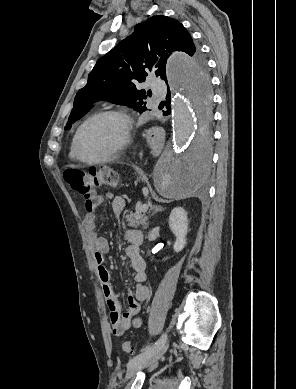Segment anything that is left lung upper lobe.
Listing matches in <instances>:
<instances>
[{"label":"left lung upper lobe","instance_id":"1","mask_svg":"<svg viewBox=\"0 0 296 389\" xmlns=\"http://www.w3.org/2000/svg\"><path fill=\"white\" fill-rule=\"evenodd\" d=\"M175 51L191 57L190 81L207 91L206 62L189 32L177 20L153 16L137 24L129 37L97 61L86 86L76 94L68 122L74 123L84 116L90 105L98 100L129 105L140 113L146 111V102H143L147 98L146 92L138 90L136 84L145 81L149 71L167 83L166 60ZM202 96L209 102L208 93ZM206 116L209 118L208 113ZM69 123L65 129H70Z\"/></svg>","mask_w":296,"mask_h":389}]
</instances>
